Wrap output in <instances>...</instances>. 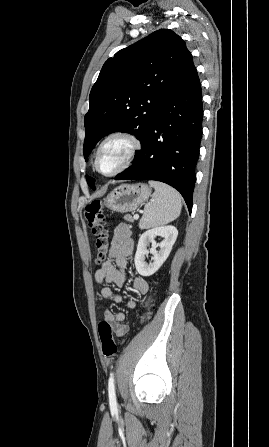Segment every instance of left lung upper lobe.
I'll list each match as a JSON object with an SVG mask.
<instances>
[{"label": "left lung upper lobe", "mask_w": 269, "mask_h": 447, "mask_svg": "<svg viewBox=\"0 0 269 447\" xmlns=\"http://www.w3.org/2000/svg\"><path fill=\"white\" fill-rule=\"evenodd\" d=\"M187 51L180 36L160 29L105 62L90 92L84 119L86 161L96 143L112 132L133 134L144 144ZM86 179L95 189V180Z\"/></svg>", "instance_id": "1"}]
</instances>
